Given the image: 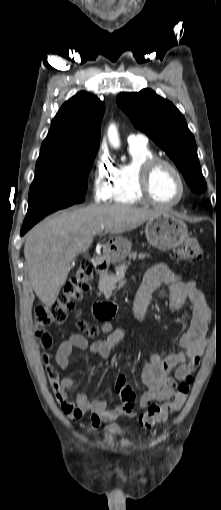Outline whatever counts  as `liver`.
I'll list each match as a JSON object with an SVG mask.
<instances>
[{
  "mask_svg": "<svg viewBox=\"0 0 221 510\" xmlns=\"http://www.w3.org/2000/svg\"><path fill=\"white\" fill-rule=\"evenodd\" d=\"M161 211L131 205L92 204L46 219L26 235V271L36 296L52 306L65 284L70 263L89 249L95 234L130 231ZM103 227V229H102Z\"/></svg>",
  "mask_w": 221,
  "mask_h": 510,
  "instance_id": "1",
  "label": "liver"
}]
</instances>
